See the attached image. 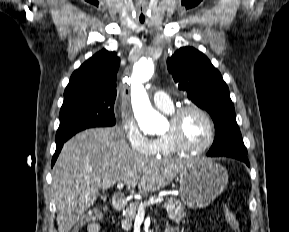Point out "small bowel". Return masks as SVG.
Instances as JSON below:
<instances>
[{
    "label": "small bowel",
    "instance_id": "obj_1",
    "mask_svg": "<svg viewBox=\"0 0 289 232\" xmlns=\"http://www.w3.org/2000/svg\"><path fill=\"white\" fill-rule=\"evenodd\" d=\"M87 232H105L102 225L98 222L89 223ZM164 232H175L171 227H167Z\"/></svg>",
    "mask_w": 289,
    "mask_h": 232
}]
</instances>
